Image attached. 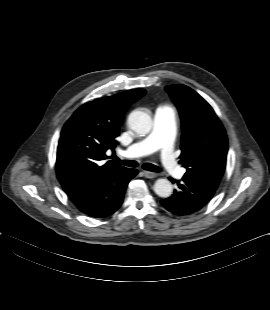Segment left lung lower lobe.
<instances>
[{
  "instance_id": "1",
  "label": "left lung lower lobe",
  "mask_w": 270,
  "mask_h": 310,
  "mask_svg": "<svg viewBox=\"0 0 270 310\" xmlns=\"http://www.w3.org/2000/svg\"><path fill=\"white\" fill-rule=\"evenodd\" d=\"M177 183L174 194L161 201V204L176 215H189L202 209L215 194L219 182L184 175L182 181L170 178Z\"/></svg>"
}]
</instances>
